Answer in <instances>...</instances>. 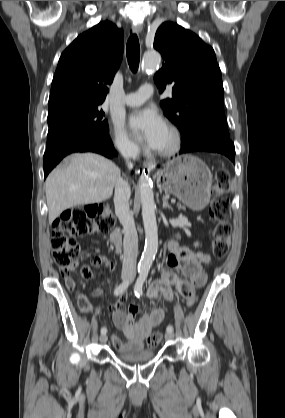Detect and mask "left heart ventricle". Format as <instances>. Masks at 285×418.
Returning <instances> with one entry per match:
<instances>
[{"mask_svg": "<svg viewBox=\"0 0 285 418\" xmlns=\"http://www.w3.org/2000/svg\"><path fill=\"white\" fill-rule=\"evenodd\" d=\"M169 140H170V136H169L168 131H166V133H165V135H164V137H163V139H162V141L160 142V144H159V146H158V147H160V146H164V145L168 144Z\"/></svg>", "mask_w": 285, "mask_h": 418, "instance_id": "1", "label": "left heart ventricle"}]
</instances>
